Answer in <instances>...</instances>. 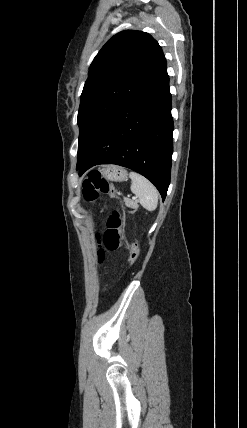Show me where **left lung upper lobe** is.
I'll use <instances>...</instances> for the list:
<instances>
[{"instance_id": "left-lung-upper-lobe-1", "label": "left lung upper lobe", "mask_w": 247, "mask_h": 428, "mask_svg": "<svg viewBox=\"0 0 247 428\" xmlns=\"http://www.w3.org/2000/svg\"><path fill=\"white\" fill-rule=\"evenodd\" d=\"M158 42L142 31H122L102 47L90 66L78 111V163L120 105L166 67Z\"/></svg>"}]
</instances>
